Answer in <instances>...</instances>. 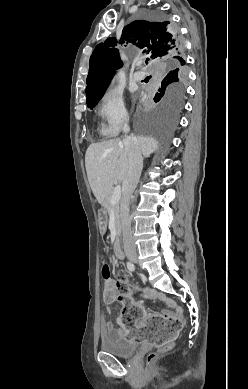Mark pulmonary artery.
Segmentation results:
<instances>
[{
  "label": "pulmonary artery",
  "mask_w": 248,
  "mask_h": 389,
  "mask_svg": "<svg viewBox=\"0 0 248 389\" xmlns=\"http://www.w3.org/2000/svg\"><path fill=\"white\" fill-rule=\"evenodd\" d=\"M143 77L142 72H135L132 76L133 81H140Z\"/></svg>",
  "instance_id": "1"
}]
</instances>
